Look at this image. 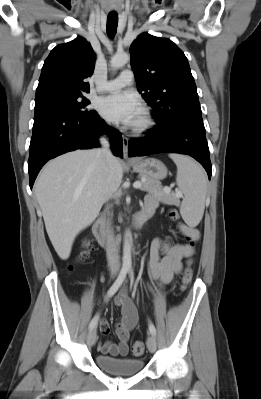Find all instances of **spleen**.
Listing matches in <instances>:
<instances>
[{
  "label": "spleen",
  "instance_id": "spleen-1",
  "mask_svg": "<svg viewBox=\"0 0 261 399\" xmlns=\"http://www.w3.org/2000/svg\"><path fill=\"white\" fill-rule=\"evenodd\" d=\"M169 157L177 166L176 182L184 195L180 213L187 225L195 227L204 214L206 174L202 167L188 156L173 153Z\"/></svg>",
  "mask_w": 261,
  "mask_h": 399
}]
</instances>
